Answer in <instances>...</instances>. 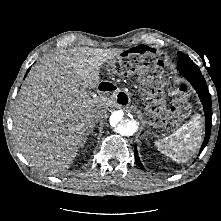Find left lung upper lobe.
I'll return each mask as SVG.
<instances>
[{"mask_svg": "<svg viewBox=\"0 0 221 221\" xmlns=\"http://www.w3.org/2000/svg\"><path fill=\"white\" fill-rule=\"evenodd\" d=\"M177 68L180 72H200L199 67L184 53L178 52V65Z\"/></svg>", "mask_w": 221, "mask_h": 221, "instance_id": "1", "label": "left lung upper lobe"}]
</instances>
